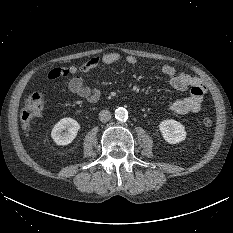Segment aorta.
<instances>
[{"label":"aorta","mask_w":233,"mask_h":233,"mask_svg":"<svg viewBox=\"0 0 233 233\" xmlns=\"http://www.w3.org/2000/svg\"><path fill=\"white\" fill-rule=\"evenodd\" d=\"M115 118L119 121H125L128 118V111L123 107L117 108L115 110Z\"/></svg>","instance_id":"obj_1"}]
</instances>
